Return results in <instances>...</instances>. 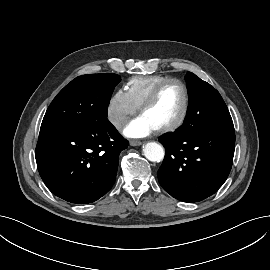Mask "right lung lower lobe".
Instances as JSON below:
<instances>
[{
	"label": "right lung lower lobe",
	"instance_id": "1",
	"mask_svg": "<svg viewBox=\"0 0 270 270\" xmlns=\"http://www.w3.org/2000/svg\"><path fill=\"white\" fill-rule=\"evenodd\" d=\"M128 141L109 122L40 128L35 157L48 189L65 201L86 204L113 186L120 152Z\"/></svg>",
	"mask_w": 270,
	"mask_h": 270
}]
</instances>
